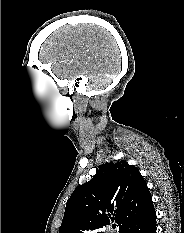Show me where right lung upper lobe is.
Listing matches in <instances>:
<instances>
[{"instance_id": "1", "label": "right lung upper lobe", "mask_w": 184, "mask_h": 233, "mask_svg": "<svg viewBox=\"0 0 184 233\" xmlns=\"http://www.w3.org/2000/svg\"><path fill=\"white\" fill-rule=\"evenodd\" d=\"M151 205V194L137 168L124 160L105 163L71 194L59 233H98L110 220L121 233Z\"/></svg>"}]
</instances>
